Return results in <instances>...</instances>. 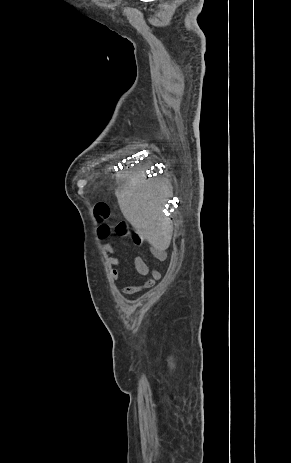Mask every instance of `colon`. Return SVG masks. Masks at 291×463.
<instances>
[{
  "label": "colon",
  "mask_w": 291,
  "mask_h": 463,
  "mask_svg": "<svg viewBox=\"0 0 291 463\" xmlns=\"http://www.w3.org/2000/svg\"><path fill=\"white\" fill-rule=\"evenodd\" d=\"M94 217L98 223V236L102 240H111V234L115 232L121 237L130 238L135 243H138L139 237L128 222L120 221L116 225L108 222L111 217V208L107 203L100 202L94 206Z\"/></svg>",
  "instance_id": "1"
}]
</instances>
